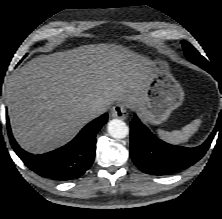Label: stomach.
<instances>
[{
    "label": "stomach",
    "instance_id": "0dacf381",
    "mask_svg": "<svg viewBox=\"0 0 222 219\" xmlns=\"http://www.w3.org/2000/svg\"><path fill=\"white\" fill-rule=\"evenodd\" d=\"M152 64L153 72L143 97L129 105L142 119L158 125L165 122L170 114L182 104L184 92L171 74L167 61L157 57Z\"/></svg>",
    "mask_w": 222,
    "mask_h": 219
}]
</instances>
